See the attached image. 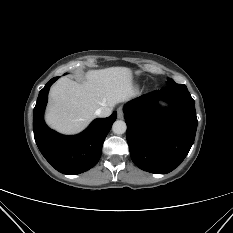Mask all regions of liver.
<instances>
[{
  "instance_id": "6515ba94",
  "label": "liver",
  "mask_w": 233,
  "mask_h": 233,
  "mask_svg": "<svg viewBox=\"0 0 233 233\" xmlns=\"http://www.w3.org/2000/svg\"><path fill=\"white\" fill-rule=\"evenodd\" d=\"M135 95L127 67L89 70L83 83L62 77L50 89L45 120L60 133L76 134L90 124L98 108H113Z\"/></svg>"
}]
</instances>
